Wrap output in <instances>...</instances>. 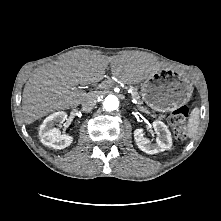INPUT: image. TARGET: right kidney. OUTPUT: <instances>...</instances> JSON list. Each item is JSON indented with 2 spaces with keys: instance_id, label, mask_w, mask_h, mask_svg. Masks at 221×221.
<instances>
[{
  "instance_id": "obj_1",
  "label": "right kidney",
  "mask_w": 221,
  "mask_h": 221,
  "mask_svg": "<svg viewBox=\"0 0 221 221\" xmlns=\"http://www.w3.org/2000/svg\"><path fill=\"white\" fill-rule=\"evenodd\" d=\"M66 119L67 114L64 111L55 112L44 119L39 128V135L46 142V145L54 149H63L73 142L72 136L61 135L60 130L53 127L56 123H62Z\"/></svg>"
}]
</instances>
